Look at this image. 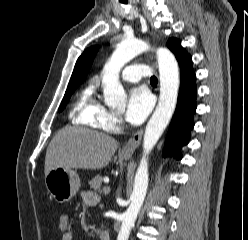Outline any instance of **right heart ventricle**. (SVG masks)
<instances>
[{
  "instance_id": "e07e8e85",
  "label": "right heart ventricle",
  "mask_w": 248,
  "mask_h": 240,
  "mask_svg": "<svg viewBox=\"0 0 248 240\" xmlns=\"http://www.w3.org/2000/svg\"><path fill=\"white\" fill-rule=\"evenodd\" d=\"M104 107L99 102L94 82L89 83L77 98L73 111L77 123L90 127L100 128L98 118Z\"/></svg>"
}]
</instances>
